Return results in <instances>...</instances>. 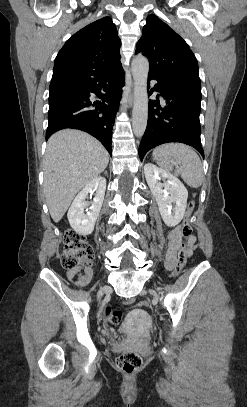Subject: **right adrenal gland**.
I'll use <instances>...</instances> for the list:
<instances>
[{
    "mask_svg": "<svg viewBox=\"0 0 247 407\" xmlns=\"http://www.w3.org/2000/svg\"><path fill=\"white\" fill-rule=\"evenodd\" d=\"M104 174L107 175V171H105Z\"/></svg>",
    "mask_w": 247,
    "mask_h": 407,
    "instance_id": "1",
    "label": "right adrenal gland"
}]
</instances>
